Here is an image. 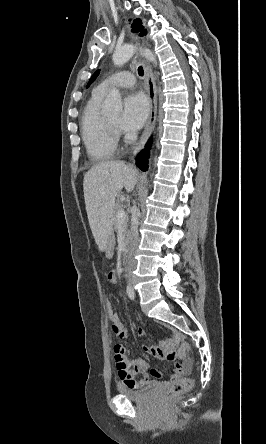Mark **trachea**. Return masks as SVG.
<instances>
[{"mask_svg":"<svg viewBox=\"0 0 266 444\" xmlns=\"http://www.w3.org/2000/svg\"><path fill=\"white\" fill-rule=\"evenodd\" d=\"M138 74H139V76H143L144 75V70H143L142 66L138 67Z\"/></svg>","mask_w":266,"mask_h":444,"instance_id":"obj_1","label":"trachea"}]
</instances>
